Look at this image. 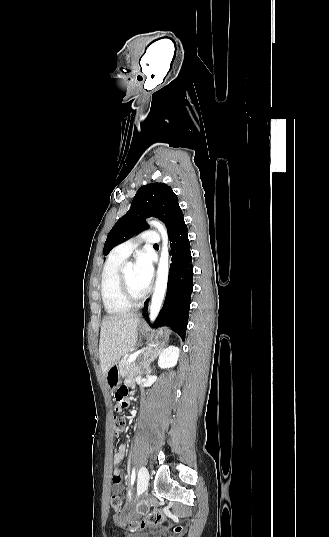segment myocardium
<instances>
[{
  "mask_svg": "<svg viewBox=\"0 0 329 537\" xmlns=\"http://www.w3.org/2000/svg\"><path fill=\"white\" fill-rule=\"evenodd\" d=\"M125 268H126L125 266L121 267V269L119 270V274H118L119 287H120L121 295L124 298V300L127 303H129L130 305H132V306L138 305L146 298L148 291H145L139 297L133 296L129 292V289H128V285H127V281H126V277H125Z\"/></svg>",
  "mask_w": 329,
  "mask_h": 537,
  "instance_id": "myocardium-1",
  "label": "myocardium"
}]
</instances>
